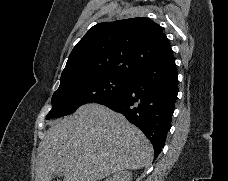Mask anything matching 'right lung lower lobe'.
I'll return each mask as SVG.
<instances>
[{
    "label": "right lung lower lobe",
    "instance_id": "right-lung-lower-lobe-1",
    "mask_svg": "<svg viewBox=\"0 0 228 181\" xmlns=\"http://www.w3.org/2000/svg\"><path fill=\"white\" fill-rule=\"evenodd\" d=\"M177 94V70L171 53L137 71L120 96L102 105L122 113L142 130L153 144L155 159L170 129Z\"/></svg>",
    "mask_w": 228,
    "mask_h": 181
}]
</instances>
